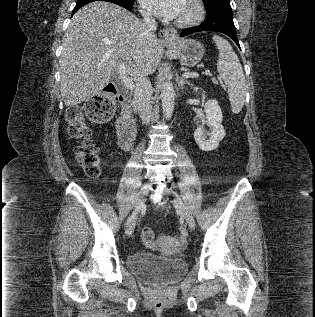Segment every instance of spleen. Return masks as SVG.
<instances>
[{
	"label": "spleen",
	"instance_id": "1",
	"mask_svg": "<svg viewBox=\"0 0 315 317\" xmlns=\"http://www.w3.org/2000/svg\"><path fill=\"white\" fill-rule=\"evenodd\" d=\"M213 41L219 51L217 70L228 88L232 112L238 114L244 106L246 95V83L242 65L226 39L214 35Z\"/></svg>",
	"mask_w": 315,
	"mask_h": 317
}]
</instances>
